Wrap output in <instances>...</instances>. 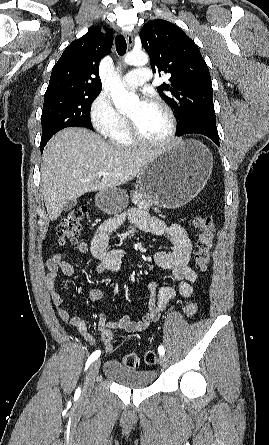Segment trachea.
<instances>
[{"mask_svg": "<svg viewBox=\"0 0 269 445\" xmlns=\"http://www.w3.org/2000/svg\"><path fill=\"white\" fill-rule=\"evenodd\" d=\"M127 49L126 40L123 35L116 37V51L119 55H124Z\"/></svg>", "mask_w": 269, "mask_h": 445, "instance_id": "obj_1", "label": "trachea"}]
</instances>
